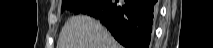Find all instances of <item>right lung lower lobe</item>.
<instances>
[{
  "instance_id": "1",
  "label": "right lung lower lobe",
  "mask_w": 213,
  "mask_h": 48,
  "mask_svg": "<svg viewBox=\"0 0 213 48\" xmlns=\"http://www.w3.org/2000/svg\"><path fill=\"white\" fill-rule=\"evenodd\" d=\"M157 0H94L84 12L127 48H148Z\"/></svg>"
}]
</instances>
